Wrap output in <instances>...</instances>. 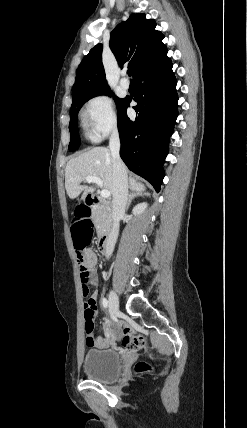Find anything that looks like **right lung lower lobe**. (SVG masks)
<instances>
[{"label":"right lung lower lobe","mask_w":247,"mask_h":428,"mask_svg":"<svg viewBox=\"0 0 247 428\" xmlns=\"http://www.w3.org/2000/svg\"><path fill=\"white\" fill-rule=\"evenodd\" d=\"M172 62L164 57L157 64L135 78L136 93L124 98L118 109V130L121 141L120 156L134 173L149 181L159 192L164 178L163 162L178 116L177 80ZM131 100L137 116L131 120L126 109Z\"/></svg>","instance_id":"1"}]
</instances>
